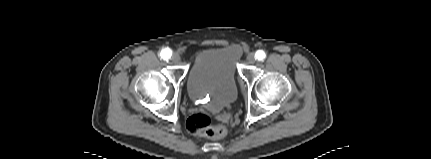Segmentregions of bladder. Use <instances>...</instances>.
<instances>
[{
	"label": "bladder",
	"mask_w": 431,
	"mask_h": 159,
	"mask_svg": "<svg viewBox=\"0 0 431 159\" xmlns=\"http://www.w3.org/2000/svg\"><path fill=\"white\" fill-rule=\"evenodd\" d=\"M239 58L240 49L235 44L199 52L187 77L190 98L213 112L228 108L238 95L236 64Z\"/></svg>",
	"instance_id": "obj_1"
}]
</instances>
